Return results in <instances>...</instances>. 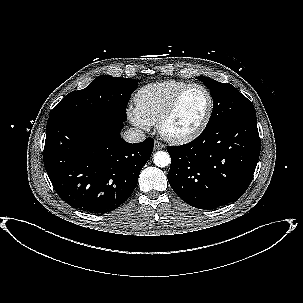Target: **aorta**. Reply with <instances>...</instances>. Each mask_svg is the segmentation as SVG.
Segmentation results:
<instances>
[{
	"label": "aorta",
	"mask_w": 303,
	"mask_h": 303,
	"mask_svg": "<svg viewBox=\"0 0 303 303\" xmlns=\"http://www.w3.org/2000/svg\"><path fill=\"white\" fill-rule=\"evenodd\" d=\"M153 162L158 167H166L170 164V155L165 151H158L153 156Z\"/></svg>",
	"instance_id": "aorta-1"
}]
</instances>
